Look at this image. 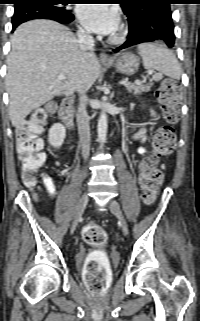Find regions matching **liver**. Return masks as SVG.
Here are the masks:
<instances>
[{"label": "liver", "instance_id": "1", "mask_svg": "<svg viewBox=\"0 0 200 321\" xmlns=\"http://www.w3.org/2000/svg\"><path fill=\"white\" fill-rule=\"evenodd\" d=\"M100 73L93 51L83 52L74 34L51 20L20 25L11 37L7 58L6 88L9 117L14 127L55 96L90 88ZM64 75L65 80L57 79Z\"/></svg>", "mask_w": 200, "mask_h": 321}]
</instances>
